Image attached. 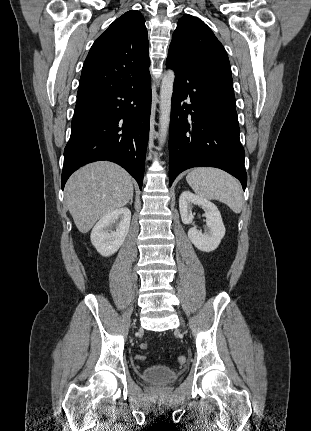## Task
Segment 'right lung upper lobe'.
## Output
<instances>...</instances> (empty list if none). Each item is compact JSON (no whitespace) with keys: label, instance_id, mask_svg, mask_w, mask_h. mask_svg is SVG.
Instances as JSON below:
<instances>
[{"label":"right lung upper lobe","instance_id":"1","mask_svg":"<svg viewBox=\"0 0 311 431\" xmlns=\"http://www.w3.org/2000/svg\"><path fill=\"white\" fill-rule=\"evenodd\" d=\"M145 19L131 10L94 42L84 62L77 96L141 77L150 65Z\"/></svg>","mask_w":311,"mask_h":431}]
</instances>
